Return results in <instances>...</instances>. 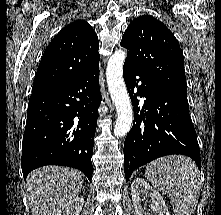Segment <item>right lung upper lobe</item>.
Here are the masks:
<instances>
[{
    "label": "right lung upper lobe",
    "mask_w": 221,
    "mask_h": 215,
    "mask_svg": "<svg viewBox=\"0 0 221 215\" xmlns=\"http://www.w3.org/2000/svg\"><path fill=\"white\" fill-rule=\"evenodd\" d=\"M99 41L84 20L65 26L47 46L37 69L32 93L56 87L99 63Z\"/></svg>",
    "instance_id": "right-lung-upper-lobe-1"
}]
</instances>
